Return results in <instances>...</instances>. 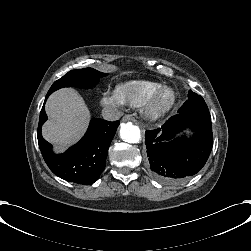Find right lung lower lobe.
I'll return each mask as SVG.
<instances>
[{
	"label": "right lung lower lobe",
	"mask_w": 251,
	"mask_h": 251,
	"mask_svg": "<svg viewBox=\"0 0 251 251\" xmlns=\"http://www.w3.org/2000/svg\"><path fill=\"white\" fill-rule=\"evenodd\" d=\"M46 120L47 115L43 105L37 137L42 156L50 170L64 180L82 185H91L97 181L105 168L108 147L119 126V121L92 119L86 134L76 145L63 154H55L51 144L41 135V127Z\"/></svg>",
	"instance_id": "obj_1"
}]
</instances>
